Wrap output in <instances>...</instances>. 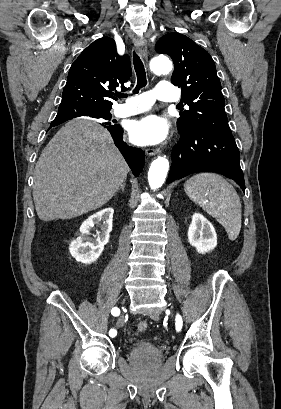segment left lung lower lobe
Here are the masks:
<instances>
[{"label": "left lung lower lobe", "mask_w": 281, "mask_h": 409, "mask_svg": "<svg viewBox=\"0 0 281 409\" xmlns=\"http://www.w3.org/2000/svg\"><path fill=\"white\" fill-rule=\"evenodd\" d=\"M173 148L167 183L196 172H216L233 179L245 192L240 154L232 134L203 127L184 131Z\"/></svg>", "instance_id": "0a47b994"}]
</instances>
